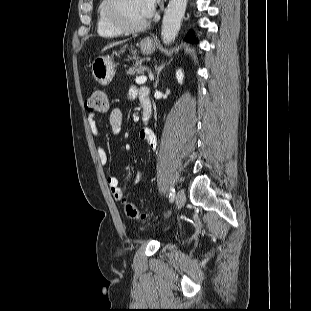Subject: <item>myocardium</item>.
Here are the masks:
<instances>
[{
    "label": "myocardium",
    "instance_id": "1",
    "mask_svg": "<svg viewBox=\"0 0 311 311\" xmlns=\"http://www.w3.org/2000/svg\"><path fill=\"white\" fill-rule=\"evenodd\" d=\"M121 0H106L105 16L108 22L122 33H138L148 28L150 19L140 25H129L123 21L119 12Z\"/></svg>",
    "mask_w": 311,
    "mask_h": 311
}]
</instances>
